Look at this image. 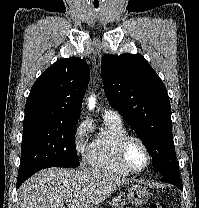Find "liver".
<instances>
[{
  "label": "liver",
  "instance_id": "liver-1",
  "mask_svg": "<svg viewBox=\"0 0 199 208\" xmlns=\"http://www.w3.org/2000/svg\"><path fill=\"white\" fill-rule=\"evenodd\" d=\"M131 181L99 169L49 168L19 188L20 208H94Z\"/></svg>",
  "mask_w": 199,
  "mask_h": 208
}]
</instances>
